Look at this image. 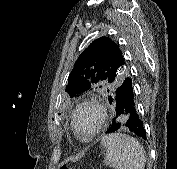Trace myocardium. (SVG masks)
Here are the masks:
<instances>
[{
    "mask_svg": "<svg viewBox=\"0 0 177 169\" xmlns=\"http://www.w3.org/2000/svg\"><path fill=\"white\" fill-rule=\"evenodd\" d=\"M92 109L97 115V126L92 133L89 135H83L77 127V116L79 112L83 109ZM106 122V110L105 108L94 99H84L82 100L74 109L71 117V126L77 137L83 141H88L93 139L96 135L100 133Z\"/></svg>",
    "mask_w": 177,
    "mask_h": 169,
    "instance_id": "f54148a6",
    "label": "myocardium"
}]
</instances>
